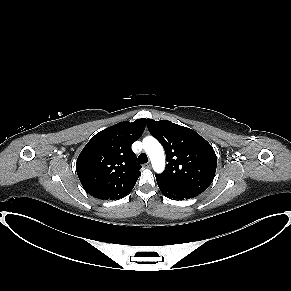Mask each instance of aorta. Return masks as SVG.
<instances>
[{"label":"aorta","mask_w":291,"mask_h":291,"mask_svg":"<svg viewBox=\"0 0 291 291\" xmlns=\"http://www.w3.org/2000/svg\"><path fill=\"white\" fill-rule=\"evenodd\" d=\"M143 147L151 160L154 171L161 173L165 168V156L162 145L156 138L147 136L143 139Z\"/></svg>","instance_id":"762f6f07"}]
</instances>
